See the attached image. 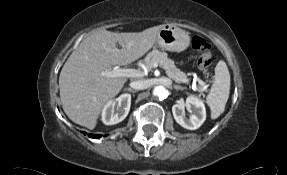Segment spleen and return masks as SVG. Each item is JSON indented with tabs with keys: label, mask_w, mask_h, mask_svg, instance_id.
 <instances>
[{
	"label": "spleen",
	"mask_w": 287,
	"mask_h": 175,
	"mask_svg": "<svg viewBox=\"0 0 287 175\" xmlns=\"http://www.w3.org/2000/svg\"><path fill=\"white\" fill-rule=\"evenodd\" d=\"M230 93V73L224 61H219L215 68V78L206 103L211 109V118H218L225 109Z\"/></svg>",
	"instance_id": "3e777b00"
}]
</instances>
